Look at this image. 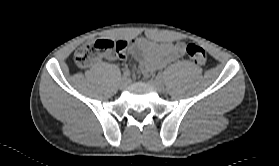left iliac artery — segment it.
I'll return each mask as SVG.
<instances>
[{
	"label": "left iliac artery",
	"instance_id": "left-iliac-artery-1",
	"mask_svg": "<svg viewBox=\"0 0 279 166\" xmlns=\"http://www.w3.org/2000/svg\"><path fill=\"white\" fill-rule=\"evenodd\" d=\"M156 78L162 80L164 76L162 74H158Z\"/></svg>",
	"mask_w": 279,
	"mask_h": 166
}]
</instances>
